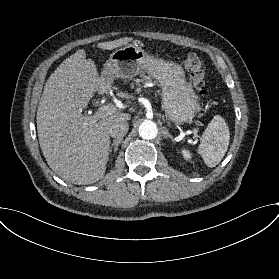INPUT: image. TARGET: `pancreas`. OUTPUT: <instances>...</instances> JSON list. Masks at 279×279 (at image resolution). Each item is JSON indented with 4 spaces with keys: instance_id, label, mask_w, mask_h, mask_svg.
<instances>
[{
    "instance_id": "pancreas-1",
    "label": "pancreas",
    "mask_w": 279,
    "mask_h": 279,
    "mask_svg": "<svg viewBox=\"0 0 279 279\" xmlns=\"http://www.w3.org/2000/svg\"><path fill=\"white\" fill-rule=\"evenodd\" d=\"M142 77H143V78H142L140 81H145V80H148V79H149L147 76L144 75V73H142ZM132 86H133V84H132Z\"/></svg>"
}]
</instances>
